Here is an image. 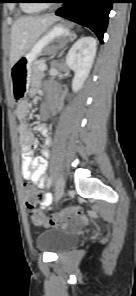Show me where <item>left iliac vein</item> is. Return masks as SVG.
Wrapping results in <instances>:
<instances>
[{"label": "left iliac vein", "instance_id": "4c4485c4", "mask_svg": "<svg viewBox=\"0 0 136 296\" xmlns=\"http://www.w3.org/2000/svg\"><path fill=\"white\" fill-rule=\"evenodd\" d=\"M64 189H65V182L64 179L62 177H60L57 180L56 183V192H55V202H59V200L63 197L64 195Z\"/></svg>", "mask_w": 136, "mask_h": 296}]
</instances>
